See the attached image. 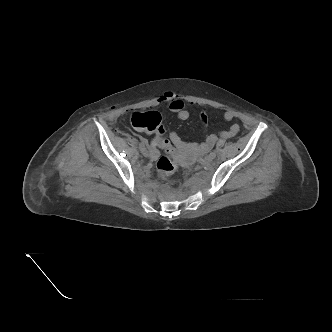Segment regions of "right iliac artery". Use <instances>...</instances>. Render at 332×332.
I'll use <instances>...</instances> for the list:
<instances>
[{"label":"right iliac artery","instance_id":"1","mask_svg":"<svg viewBox=\"0 0 332 332\" xmlns=\"http://www.w3.org/2000/svg\"><path fill=\"white\" fill-rule=\"evenodd\" d=\"M140 141H141L142 144L147 145V141L146 140H144V139L141 138Z\"/></svg>","mask_w":332,"mask_h":332}]
</instances>
